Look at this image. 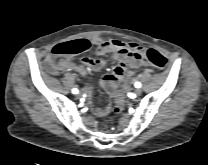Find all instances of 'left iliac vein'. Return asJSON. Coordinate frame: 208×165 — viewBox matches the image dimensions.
<instances>
[{
	"mask_svg": "<svg viewBox=\"0 0 208 165\" xmlns=\"http://www.w3.org/2000/svg\"><path fill=\"white\" fill-rule=\"evenodd\" d=\"M141 93H142V90L139 89V88H137V89L134 91V94L137 95V96L141 95Z\"/></svg>",
	"mask_w": 208,
	"mask_h": 165,
	"instance_id": "4c4485c4",
	"label": "left iliac vein"
}]
</instances>
